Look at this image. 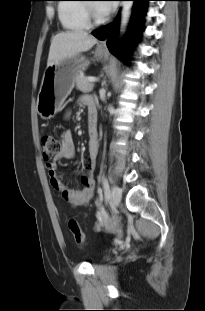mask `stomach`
<instances>
[{
    "instance_id": "stomach-1",
    "label": "stomach",
    "mask_w": 205,
    "mask_h": 311,
    "mask_svg": "<svg viewBox=\"0 0 205 311\" xmlns=\"http://www.w3.org/2000/svg\"><path fill=\"white\" fill-rule=\"evenodd\" d=\"M97 58L106 56V52L97 49ZM89 62L77 54L61 61L57 65L47 66L37 97V112L43 119H50L61 109L75 84V77L80 74Z\"/></svg>"
}]
</instances>
